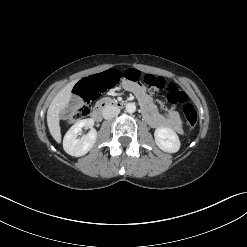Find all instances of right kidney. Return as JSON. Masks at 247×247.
<instances>
[{
	"mask_svg": "<svg viewBox=\"0 0 247 247\" xmlns=\"http://www.w3.org/2000/svg\"><path fill=\"white\" fill-rule=\"evenodd\" d=\"M93 125L94 120L91 118L77 121L64 136L63 148L65 152L75 157L83 156L88 153L97 138V132L93 128ZM84 127L90 128V131L81 138H77L79 132Z\"/></svg>",
	"mask_w": 247,
	"mask_h": 247,
	"instance_id": "1",
	"label": "right kidney"
}]
</instances>
